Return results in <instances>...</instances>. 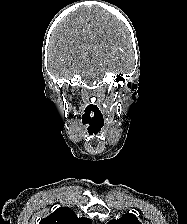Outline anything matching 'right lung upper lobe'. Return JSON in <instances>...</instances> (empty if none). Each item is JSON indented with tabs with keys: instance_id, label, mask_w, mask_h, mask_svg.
Segmentation results:
<instances>
[{
	"instance_id": "1",
	"label": "right lung upper lobe",
	"mask_w": 187,
	"mask_h": 224,
	"mask_svg": "<svg viewBox=\"0 0 187 224\" xmlns=\"http://www.w3.org/2000/svg\"><path fill=\"white\" fill-rule=\"evenodd\" d=\"M39 224H91V220L85 217L78 218L69 207H60Z\"/></svg>"
}]
</instances>
